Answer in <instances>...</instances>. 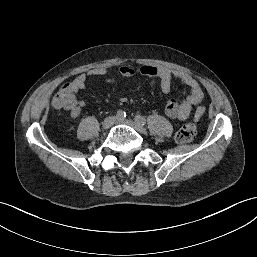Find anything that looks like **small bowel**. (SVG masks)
<instances>
[{"instance_id": "obj_1", "label": "small bowel", "mask_w": 257, "mask_h": 257, "mask_svg": "<svg viewBox=\"0 0 257 257\" xmlns=\"http://www.w3.org/2000/svg\"><path fill=\"white\" fill-rule=\"evenodd\" d=\"M112 68L99 67L92 69L86 73L78 75L69 85V91L75 95L88 86V81L92 77H102L105 84H115L116 79L111 76ZM121 77L131 78L135 75H142L150 80L151 85L158 84L162 93L168 94L171 90V85L174 80L179 81L188 88V92L181 100L170 99L165 106L166 115L174 120H186L193 108L199 105L203 99V91L199 82L190 74L173 70L169 68H157L150 65H142L138 68L131 66H122L118 69ZM87 106L85 99L77 101V107L71 111L70 114L73 118L81 115L82 109ZM205 112L203 106H199L194 114V120L199 121Z\"/></svg>"}]
</instances>
